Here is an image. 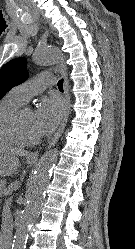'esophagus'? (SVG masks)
I'll use <instances>...</instances> for the list:
<instances>
[{
    "mask_svg": "<svg viewBox=\"0 0 135 249\" xmlns=\"http://www.w3.org/2000/svg\"><path fill=\"white\" fill-rule=\"evenodd\" d=\"M58 70H59V72L62 75L63 80H64V94H65L66 104L67 105H66V111H65L62 123H61L58 131L56 132V134L54 135V137L50 141L48 147H51V146L55 145V143L60 138V136L63 133V131L65 129V126L67 124L69 113H70L71 101H70L69 83H68L67 73H66V70H65L63 64H61V65L58 66ZM38 156H39V151H33V152L29 153V155H28V157L32 158V159H37Z\"/></svg>",
    "mask_w": 135,
    "mask_h": 249,
    "instance_id": "34e87169",
    "label": "esophagus"
}]
</instances>
